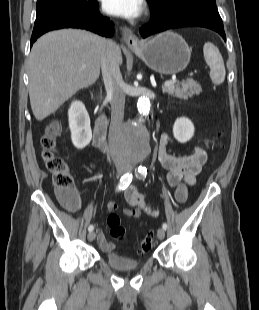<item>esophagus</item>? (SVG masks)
Here are the masks:
<instances>
[{"instance_id": "1", "label": "esophagus", "mask_w": 259, "mask_h": 310, "mask_svg": "<svg viewBox=\"0 0 259 310\" xmlns=\"http://www.w3.org/2000/svg\"><path fill=\"white\" fill-rule=\"evenodd\" d=\"M122 39L131 49H136L141 46L139 38L128 27H122Z\"/></svg>"}]
</instances>
